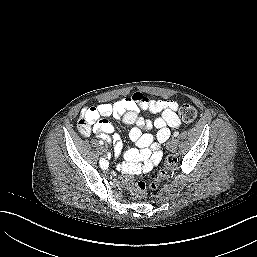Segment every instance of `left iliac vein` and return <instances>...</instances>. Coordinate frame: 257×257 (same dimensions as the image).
Segmentation results:
<instances>
[{
  "instance_id": "left-iliac-vein-1",
  "label": "left iliac vein",
  "mask_w": 257,
  "mask_h": 257,
  "mask_svg": "<svg viewBox=\"0 0 257 257\" xmlns=\"http://www.w3.org/2000/svg\"><path fill=\"white\" fill-rule=\"evenodd\" d=\"M178 145V140L176 138L171 139L167 146L170 151H175Z\"/></svg>"
}]
</instances>
